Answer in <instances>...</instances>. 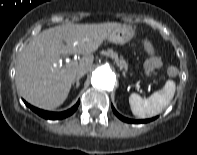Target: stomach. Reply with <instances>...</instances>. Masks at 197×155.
Segmentation results:
<instances>
[{"label":"stomach","instance_id":"obj_1","mask_svg":"<svg viewBox=\"0 0 197 155\" xmlns=\"http://www.w3.org/2000/svg\"><path fill=\"white\" fill-rule=\"evenodd\" d=\"M135 36L134 28L131 25L123 24L111 31L107 39L116 44H125L131 41Z\"/></svg>","mask_w":197,"mask_h":155}]
</instances>
